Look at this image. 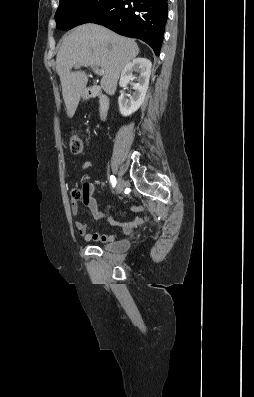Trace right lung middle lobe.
Here are the masks:
<instances>
[{"label":"right lung middle lobe","instance_id":"right-lung-middle-lobe-1","mask_svg":"<svg viewBox=\"0 0 254 397\" xmlns=\"http://www.w3.org/2000/svg\"><path fill=\"white\" fill-rule=\"evenodd\" d=\"M114 0H60L56 28L69 30L102 15Z\"/></svg>","mask_w":254,"mask_h":397}]
</instances>
